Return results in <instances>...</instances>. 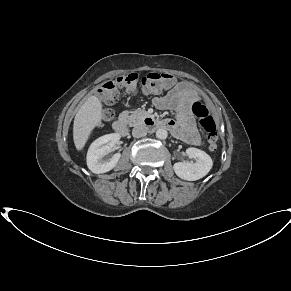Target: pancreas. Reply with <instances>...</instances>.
Masks as SVG:
<instances>
[{"instance_id":"1","label":"pancreas","mask_w":291,"mask_h":291,"mask_svg":"<svg viewBox=\"0 0 291 291\" xmlns=\"http://www.w3.org/2000/svg\"><path fill=\"white\" fill-rule=\"evenodd\" d=\"M128 119L130 126H137L143 122V120L149 116L148 112L142 109H136L134 111H124L122 113Z\"/></svg>"}]
</instances>
